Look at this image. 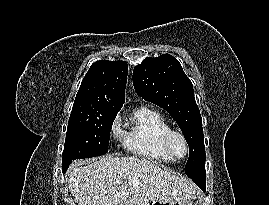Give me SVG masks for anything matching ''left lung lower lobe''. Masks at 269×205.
I'll return each instance as SVG.
<instances>
[{
  "label": "left lung lower lobe",
  "instance_id": "obj_1",
  "mask_svg": "<svg viewBox=\"0 0 269 205\" xmlns=\"http://www.w3.org/2000/svg\"><path fill=\"white\" fill-rule=\"evenodd\" d=\"M193 181L205 191L206 173L205 169H202L192 175Z\"/></svg>",
  "mask_w": 269,
  "mask_h": 205
}]
</instances>
